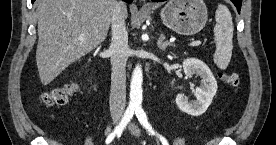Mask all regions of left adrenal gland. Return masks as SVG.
Returning <instances> with one entry per match:
<instances>
[{"mask_svg":"<svg viewBox=\"0 0 276 145\" xmlns=\"http://www.w3.org/2000/svg\"><path fill=\"white\" fill-rule=\"evenodd\" d=\"M165 40V36L162 34L159 39H158V48L161 50H165L166 47L168 46H175L173 43L169 42V41H164Z\"/></svg>","mask_w":276,"mask_h":145,"instance_id":"obj_1","label":"left adrenal gland"}]
</instances>
